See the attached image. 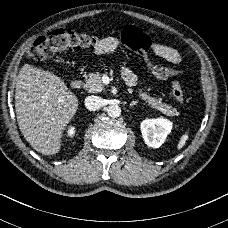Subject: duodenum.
<instances>
[{"instance_id":"1","label":"duodenum","mask_w":228,"mask_h":228,"mask_svg":"<svg viewBox=\"0 0 228 228\" xmlns=\"http://www.w3.org/2000/svg\"><path fill=\"white\" fill-rule=\"evenodd\" d=\"M127 84L131 86V85H133V82L127 81ZM81 86H82V80H81V78L76 77V78L72 79V81H71V87L73 89L78 90V89L81 88Z\"/></svg>"}]
</instances>
